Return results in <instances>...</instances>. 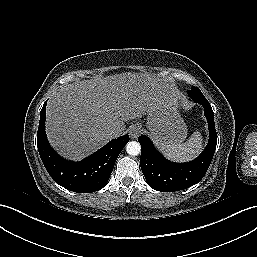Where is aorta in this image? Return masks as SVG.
Instances as JSON below:
<instances>
[{"label": "aorta", "instance_id": "1", "mask_svg": "<svg viewBox=\"0 0 257 257\" xmlns=\"http://www.w3.org/2000/svg\"><path fill=\"white\" fill-rule=\"evenodd\" d=\"M126 151L129 155L137 156L141 152V146L136 141H130L126 145Z\"/></svg>", "mask_w": 257, "mask_h": 257}]
</instances>
